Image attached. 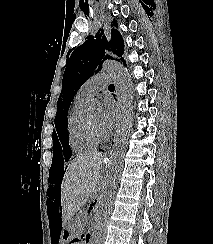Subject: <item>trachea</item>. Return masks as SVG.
Returning a JSON list of instances; mask_svg holds the SVG:
<instances>
[{"label":"trachea","instance_id":"3493384b","mask_svg":"<svg viewBox=\"0 0 213 244\" xmlns=\"http://www.w3.org/2000/svg\"><path fill=\"white\" fill-rule=\"evenodd\" d=\"M109 88H115L113 84H110L109 85Z\"/></svg>","mask_w":213,"mask_h":244}]
</instances>
